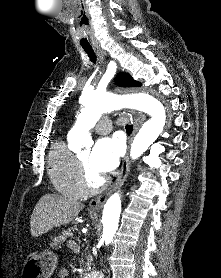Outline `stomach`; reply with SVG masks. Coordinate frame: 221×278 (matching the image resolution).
<instances>
[{"mask_svg": "<svg viewBox=\"0 0 221 278\" xmlns=\"http://www.w3.org/2000/svg\"><path fill=\"white\" fill-rule=\"evenodd\" d=\"M57 262V256L49 251L30 254L24 264L23 278H50L57 267Z\"/></svg>", "mask_w": 221, "mask_h": 278, "instance_id": "obj_1", "label": "stomach"}]
</instances>
